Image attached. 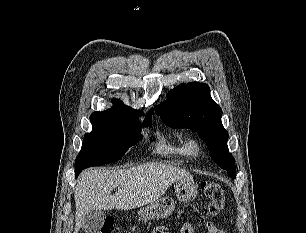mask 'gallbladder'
Listing matches in <instances>:
<instances>
[{
  "instance_id": "1",
  "label": "gallbladder",
  "mask_w": 306,
  "mask_h": 233,
  "mask_svg": "<svg viewBox=\"0 0 306 233\" xmlns=\"http://www.w3.org/2000/svg\"><path fill=\"white\" fill-rule=\"evenodd\" d=\"M105 214L99 210L90 211L84 218L82 229L86 233H98L103 226Z\"/></svg>"
}]
</instances>
